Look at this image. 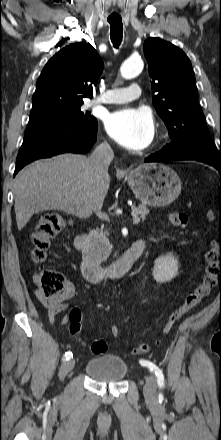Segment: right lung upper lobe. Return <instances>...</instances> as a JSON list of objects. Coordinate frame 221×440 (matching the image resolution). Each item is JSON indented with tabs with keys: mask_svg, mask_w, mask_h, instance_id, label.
I'll return each instance as SVG.
<instances>
[{
	"mask_svg": "<svg viewBox=\"0 0 221 440\" xmlns=\"http://www.w3.org/2000/svg\"><path fill=\"white\" fill-rule=\"evenodd\" d=\"M103 61L89 43H73L45 65L36 84L32 110L51 104H79L91 98Z\"/></svg>",
	"mask_w": 221,
	"mask_h": 440,
	"instance_id": "right-lung-upper-lobe-1",
	"label": "right lung upper lobe"
}]
</instances>
